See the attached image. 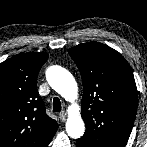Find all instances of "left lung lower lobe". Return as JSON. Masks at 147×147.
I'll return each mask as SVG.
<instances>
[{"label": "left lung lower lobe", "instance_id": "left-lung-lower-lobe-1", "mask_svg": "<svg viewBox=\"0 0 147 147\" xmlns=\"http://www.w3.org/2000/svg\"><path fill=\"white\" fill-rule=\"evenodd\" d=\"M76 147H89L84 141H81L80 139H78L76 141Z\"/></svg>", "mask_w": 147, "mask_h": 147}]
</instances>
